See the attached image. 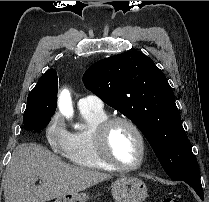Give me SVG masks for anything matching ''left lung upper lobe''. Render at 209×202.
Listing matches in <instances>:
<instances>
[{"label":"left lung upper lobe","mask_w":209,"mask_h":202,"mask_svg":"<svg viewBox=\"0 0 209 202\" xmlns=\"http://www.w3.org/2000/svg\"><path fill=\"white\" fill-rule=\"evenodd\" d=\"M83 83L140 129L171 179L200 177L173 90L148 56L133 50L102 59L86 70Z\"/></svg>","instance_id":"left-lung-upper-lobe-1"}]
</instances>
